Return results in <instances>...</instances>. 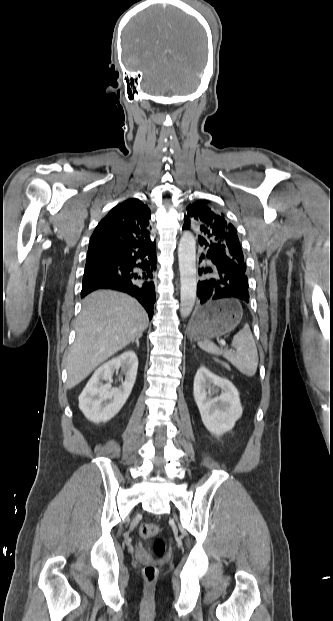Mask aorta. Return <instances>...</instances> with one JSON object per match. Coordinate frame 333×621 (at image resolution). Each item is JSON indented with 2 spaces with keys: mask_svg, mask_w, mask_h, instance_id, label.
I'll return each mask as SVG.
<instances>
[{
  "mask_svg": "<svg viewBox=\"0 0 333 621\" xmlns=\"http://www.w3.org/2000/svg\"><path fill=\"white\" fill-rule=\"evenodd\" d=\"M180 271V314L183 318L190 315L196 300V241L190 232H184L178 247Z\"/></svg>",
  "mask_w": 333,
  "mask_h": 621,
  "instance_id": "obj_1",
  "label": "aorta"
}]
</instances>
